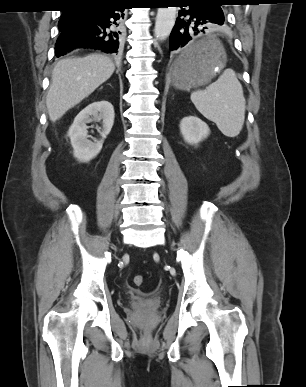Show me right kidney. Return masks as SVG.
Segmentation results:
<instances>
[{"label":"right kidney","mask_w":306,"mask_h":387,"mask_svg":"<svg viewBox=\"0 0 306 387\" xmlns=\"http://www.w3.org/2000/svg\"><path fill=\"white\" fill-rule=\"evenodd\" d=\"M114 108L108 101H97L89 104L75 117L70 126L68 136L73 147V155L80 162H88L95 158L102 149L103 140L110 133L114 123ZM102 120L101 139L92 142L88 139L87 124Z\"/></svg>","instance_id":"obj_1"}]
</instances>
